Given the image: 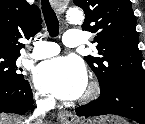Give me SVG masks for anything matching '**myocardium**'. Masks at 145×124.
Returning a JSON list of instances; mask_svg holds the SVG:
<instances>
[{"label": "myocardium", "instance_id": "obj_1", "mask_svg": "<svg viewBox=\"0 0 145 124\" xmlns=\"http://www.w3.org/2000/svg\"><path fill=\"white\" fill-rule=\"evenodd\" d=\"M100 93V84L97 81H91L85 90L82 100L87 102L95 99Z\"/></svg>", "mask_w": 145, "mask_h": 124}]
</instances>
